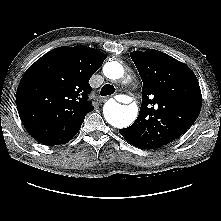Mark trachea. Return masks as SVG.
Listing matches in <instances>:
<instances>
[{"label":"trachea","instance_id":"1","mask_svg":"<svg viewBox=\"0 0 221 221\" xmlns=\"http://www.w3.org/2000/svg\"><path fill=\"white\" fill-rule=\"evenodd\" d=\"M115 92V88L113 85L110 84H105L100 91V95L101 96H107V95H111L114 94Z\"/></svg>","mask_w":221,"mask_h":221}]
</instances>
